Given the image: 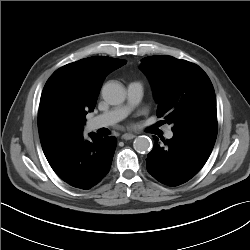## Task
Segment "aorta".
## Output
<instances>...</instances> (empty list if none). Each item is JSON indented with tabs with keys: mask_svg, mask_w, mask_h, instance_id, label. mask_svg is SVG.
Returning a JSON list of instances; mask_svg holds the SVG:
<instances>
[{
	"mask_svg": "<svg viewBox=\"0 0 250 250\" xmlns=\"http://www.w3.org/2000/svg\"><path fill=\"white\" fill-rule=\"evenodd\" d=\"M125 89L116 82H108L102 87V97L110 105H118L125 100ZM133 147L138 153H146L152 148V141L147 136H138L133 142Z\"/></svg>",
	"mask_w": 250,
	"mask_h": 250,
	"instance_id": "aorta-1",
	"label": "aorta"
}]
</instances>
